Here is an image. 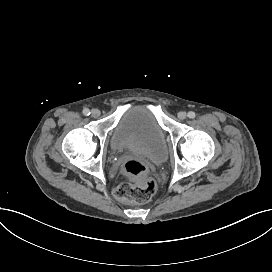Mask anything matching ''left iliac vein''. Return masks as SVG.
<instances>
[{"label": "left iliac vein", "instance_id": "1", "mask_svg": "<svg viewBox=\"0 0 272 272\" xmlns=\"http://www.w3.org/2000/svg\"><path fill=\"white\" fill-rule=\"evenodd\" d=\"M186 116H187V114H186L185 112H183V111H181V112L178 113V118H179L180 120L185 119Z\"/></svg>", "mask_w": 272, "mask_h": 272}]
</instances>
